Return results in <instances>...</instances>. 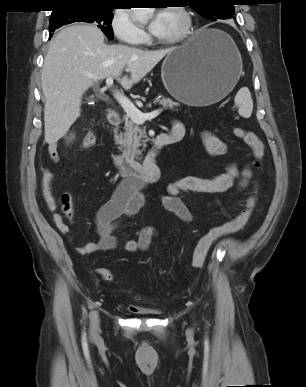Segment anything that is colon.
I'll return each instance as SVG.
<instances>
[{
    "label": "colon",
    "instance_id": "obj_1",
    "mask_svg": "<svg viewBox=\"0 0 306 387\" xmlns=\"http://www.w3.org/2000/svg\"><path fill=\"white\" fill-rule=\"evenodd\" d=\"M233 133L240 138L250 149L253 154V165L256 169L262 166V159L264 156V146L260 138L252 131L241 127H234ZM97 138L94 133H88L82 139L81 146L84 149L92 148L96 145ZM62 210L68 217L74 214V205L71 195L64 194L61 199ZM256 205V196L252 195L248 198L245 208L233 219L226 223L212 228L208 233L201 236L193 250L192 266L195 269H201L206 260L207 254L211 246L220 238L236 233L241 230L249 221L252 212ZM98 274L106 281H114V274L104 268L98 269Z\"/></svg>",
    "mask_w": 306,
    "mask_h": 387
}]
</instances>
